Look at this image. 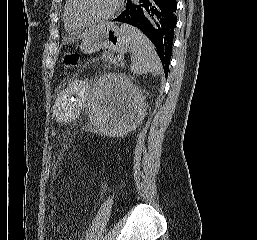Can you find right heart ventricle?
I'll list each match as a JSON object with an SVG mask.
<instances>
[{"instance_id":"e07e8e85","label":"right heart ventricle","mask_w":257,"mask_h":240,"mask_svg":"<svg viewBox=\"0 0 257 240\" xmlns=\"http://www.w3.org/2000/svg\"><path fill=\"white\" fill-rule=\"evenodd\" d=\"M64 26L69 33H78L82 31L86 26L76 22L70 12V0H66L64 11Z\"/></svg>"}]
</instances>
